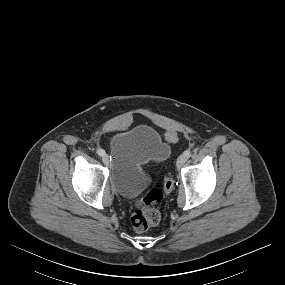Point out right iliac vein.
I'll return each instance as SVG.
<instances>
[{"label":"right iliac vein","mask_w":285,"mask_h":285,"mask_svg":"<svg viewBox=\"0 0 285 285\" xmlns=\"http://www.w3.org/2000/svg\"><path fill=\"white\" fill-rule=\"evenodd\" d=\"M102 161L105 165H107L109 163V158H108V155L107 154H104L102 156Z\"/></svg>","instance_id":"63e3f726"}]
</instances>
